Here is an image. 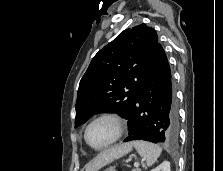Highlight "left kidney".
I'll return each mask as SVG.
<instances>
[{
	"mask_svg": "<svg viewBox=\"0 0 223 171\" xmlns=\"http://www.w3.org/2000/svg\"><path fill=\"white\" fill-rule=\"evenodd\" d=\"M151 171H171L170 162L164 161L162 164L152 169Z\"/></svg>",
	"mask_w": 223,
	"mask_h": 171,
	"instance_id": "1",
	"label": "left kidney"
}]
</instances>
